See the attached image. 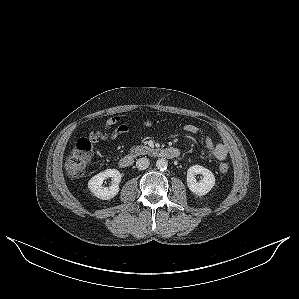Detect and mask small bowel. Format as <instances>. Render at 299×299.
<instances>
[{"label": "small bowel", "instance_id": "c3829d8e", "mask_svg": "<svg viewBox=\"0 0 299 299\" xmlns=\"http://www.w3.org/2000/svg\"><path fill=\"white\" fill-rule=\"evenodd\" d=\"M120 120L119 117L113 116L106 120L103 129L99 131H95L93 129L89 130L88 138L91 143H97L99 141H109L115 139L120 134L127 131V125L122 124L115 130L111 131V128ZM184 130L189 134H196L198 132V128L193 124H187L184 126ZM206 147L207 154L205 158L208 159H216L219 161L225 160L228 154V149L226 145L223 143H214L211 138H206Z\"/></svg>", "mask_w": 299, "mask_h": 299}]
</instances>
